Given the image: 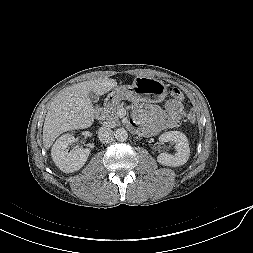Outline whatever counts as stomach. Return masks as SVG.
Instances as JSON below:
<instances>
[{"instance_id": "1", "label": "stomach", "mask_w": 253, "mask_h": 253, "mask_svg": "<svg viewBox=\"0 0 253 253\" xmlns=\"http://www.w3.org/2000/svg\"><path fill=\"white\" fill-rule=\"evenodd\" d=\"M167 96V85L162 81L152 77H137L132 85L115 87L106 98L110 104H115L121 100L132 102L145 101L158 103Z\"/></svg>"}]
</instances>
